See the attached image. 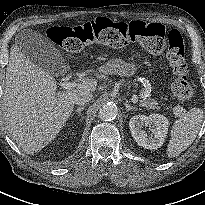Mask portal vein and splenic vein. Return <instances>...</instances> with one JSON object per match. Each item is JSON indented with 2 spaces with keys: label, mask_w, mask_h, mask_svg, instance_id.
I'll use <instances>...</instances> for the list:
<instances>
[{
  "label": "portal vein and splenic vein",
  "mask_w": 205,
  "mask_h": 205,
  "mask_svg": "<svg viewBox=\"0 0 205 205\" xmlns=\"http://www.w3.org/2000/svg\"><path fill=\"white\" fill-rule=\"evenodd\" d=\"M59 85H60L62 88L66 89V90H69V89L74 88V87L76 86V83L64 81V82L59 83ZM132 102H133L134 104H137V102H138V97H137L136 95H133V97H132Z\"/></svg>",
  "instance_id": "obj_1"
}]
</instances>
